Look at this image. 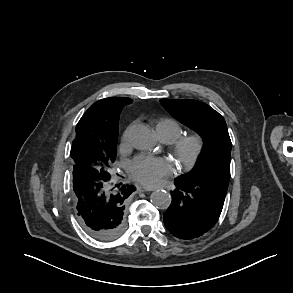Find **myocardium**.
<instances>
[{
	"instance_id": "f54148a6",
	"label": "myocardium",
	"mask_w": 293,
	"mask_h": 293,
	"mask_svg": "<svg viewBox=\"0 0 293 293\" xmlns=\"http://www.w3.org/2000/svg\"><path fill=\"white\" fill-rule=\"evenodd\" d=\"M204 145V138L199 133L183 135L173 141L171 151L179 169H191L202 155Z\"/></svg>"
}]
</instances>
